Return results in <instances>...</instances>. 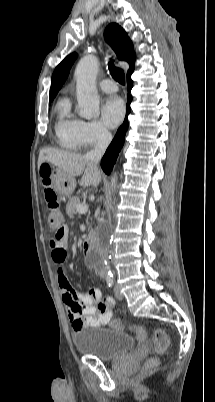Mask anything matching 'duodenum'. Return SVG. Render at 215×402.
Instances as JSON below:
<instances>
[{"label":"duodenum","mask_w":215,"mask_h":402,"mask_svg":"<svg viewBox=\"0 0 215 402\" xmlns=\"http://www.w3.org/2000/svg\"><path fill=\"white\" fill-rule=\"evenodd\" d=\"M82 253L86 256L90 255L94 249V239L93 236L89 235L82 244ZM99 271H102L101 267H98Z\"/></svg>","instance_id":"410a0bca"}]
</instances>
